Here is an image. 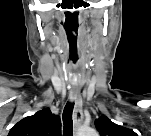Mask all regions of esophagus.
Returning <instances> with one entry per match:
<instances>
[{
	"instance_id": "obj_1",
	"label": "esophagus",
	"mask_w": 151,
	"mask_h": 136,
	"mask_svg": "<svg viewBox=\"0 0 151 136\" xmlns=\"http://www.w3.org/2000/svg\"><path fill=\"white\" fill-rule=\"evenodd\" d=\"M70 99L75 103L74 107V133L78 132L79 126L83 120V110L80 92L77 88L72 87L70 91Z\"/></svg>"
}]
</instances>
